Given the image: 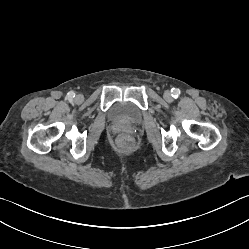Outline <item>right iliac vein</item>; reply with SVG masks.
<instances>
[{
  "label": "right iliac vein",
  "instance_id": "1",
  "mask_svg": "<svg viewBox=\"0 0 249 249\" xmlns=\"http://www.w3.org/2000/svg\"><path fill=\"white\" fill-rule=\"evenodd\" d=\"M75 101H76L77 103H81V102L83 101V96H82V95H77V96L75 97Z\"/></svg>",
  "mask_w": 249,
  "mask_h": 249
}]
</instances>
